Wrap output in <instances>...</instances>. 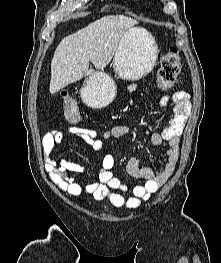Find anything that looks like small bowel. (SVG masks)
<instances>
[{
  "label": "small bowel",
  "instance_id": "small-bowel-1",
  "mask_svg": "<svg viewBox=\"0 0 221 263\" xmlns=\"http://www.w3.org/2000/svg\"><path fill=\"white\" fill-rule=\"evenodd\" d=\"M135 89V84L130 85V92ZM168 103L172 104L173 115L171 119L161 132H154L151 135V141L154 145L159 146L163 142L167 143L166 154L168 159L166 164L159 172L147 167H140L139 160L135 157H131L126 164L127 174L132 179L145 181L143 185L129 188L122 183L111 171L114 166V158L110 154H106L102 159V168L98 179L83 185L78 182L76 175L82 174L85 167L56 152L55 159H48L45 163L50 179L61 190L80 200L82 195L90 194L96 200L108 199L117 208H138L142 202L150 200L151 196L169 179L179 160V142L190 114L189 95L186 92L178 91L163 98L162 105L166 106ZM131 131L132 127L130 126L116 125L103 132L99 137L95 130L77 125L54 129L43 137V156L47 158L56 150L65 133L83 140L93 150L98 151L103 148L104 141L123 137ZM127 194L129 196H126Z\"/></svg>",
  "mask_w": 221,
  "mask_h": 263
}]
</instances>
